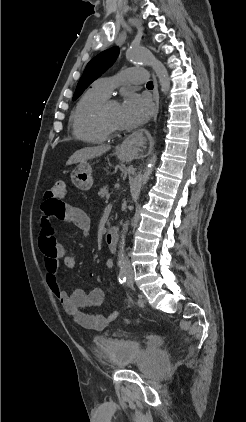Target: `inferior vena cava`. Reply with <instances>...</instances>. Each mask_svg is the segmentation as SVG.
<instances>
[{"label":"inferior vena cava","instance_id":"1","mask_svg":"<svg viewBox=\"0 0 246 422\" xmlns=\"http://www.w3.org/2000/svg\"><path fill=\"white\" fill-rule=\"evenodd\" d=\"M123 268H124V271L125 272H128V273H132L133 271H132V267H131V265H130V262H129V260H128V258L126 257V258H124V261H123Z\"/></svg>","mask_w":246,"mask_h":422}]
</instances>
